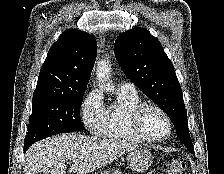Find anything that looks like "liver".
<instances>
[{
    "mask_svg": "<svg viewBox=\"0 0 224 174\" xmlns=\"http://www.w3.org/2000/svg\"><path fill=\"white\" fill-rule=\"evenodd\" d=\"M138 145L98 137L62 134L34 143L25 154L24 173L86 174L100 169Z\"/></svg>",
    "mask_w": 224,
    "mask_h": 174,
    "instance_id": "1",
    "label": "liver"
}]
</instances>
